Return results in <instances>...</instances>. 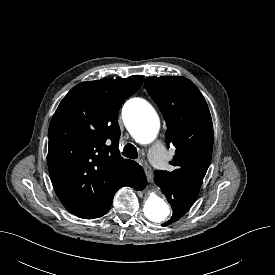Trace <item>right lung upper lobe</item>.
<instances>
[{
	"mask_svg": "<svg viewBox=\"0 0 275 275\" xmlns=\"http://www.w3.org/2000/svg\"><path fill=\"white\" fill-rule=\"evenodd\" d=\"M143 76L82 82L59 104L49 126L48 169L64 207L84 219L100 217L138 166L118 148V112Z\"/></svg>",
	"mask_w": 275,
	"mask_h": 275,
	"instance_id": "cb5924a9",
	"label": "right lung upper lobe"
}]
</instances>
